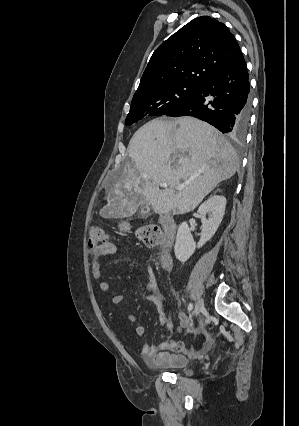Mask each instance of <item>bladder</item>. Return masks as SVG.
Segmentation results:
<instances>
[{
	"instance_id": "bladder-1",
	"label": "bladder",
	"mask_w": 299,
	"mask_h": 426,
	"mask_svg": "<svg viewBox=\"0 0 299 426\" xmlns=\"http://www.w3.org/2000/svg\"><path fill=\"white\" fill-rule=\"evenodd\" d=\"M176 373H180L183 375H190L191 372L189 370H177Z\"/></svg>"
}]
</instances>
